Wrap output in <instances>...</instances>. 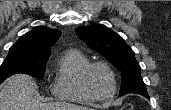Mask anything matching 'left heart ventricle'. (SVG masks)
I'll use <instances>...</instances> for the list:
<instances>
[{
  "instance_id": "obj_1",
  "label": "left heart ventricle",
  "mask_w": 171,
  "mask_h": 110,
  "mask_svg": "<svg viewBox=\"0 0 171 110\" xmlns=\"http://www.w3.org/2000/svg\"><path fill=\"white\" fill-rule=\"evenodd\" d=\"M88 82L92 92L97 96L105 97L112 92L111 76L102 67H96L91 71Z\"/></svg>"
}]
</instances>
